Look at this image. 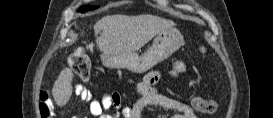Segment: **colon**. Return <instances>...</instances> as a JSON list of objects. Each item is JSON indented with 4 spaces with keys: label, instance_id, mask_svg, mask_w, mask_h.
<instances>
[{
    "label": "colon",
    "instance_id": "obj_1",
    "mask_svg": "<svg viewBox=\"0 0 273 118\" xmlns=\"http://www.w3.org/2000/svg\"><path fill=\"white\" fill-rule=\"evenodd\" d=\"M70 65L77 77L82 81H88L91 76L89 60L81 48H77L71 54ZM195 109L202 113H213L217 109V103L214 100H194ZM40 114L42 118L52 116L50 97L47 92L40 94Z\"/></svg>",
    "mask_w": 273,
    "mask_h": 118
}]
</instances>
